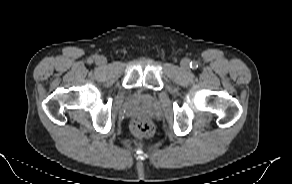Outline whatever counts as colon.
Here are the masks:
<instances>
[{"mask_svg":"<svg viewBox=\"0 0 292 184\" xmlns=\"http://www.w3.org/2000/svg\"><path fill=\"white\" fill-rule=\"evenodd\" d=\"M131 132L137 137H150L154 133V127L148 121L137 119L131 123Z\"/></svg>","mask_w":292,"mask_h":184,"instance_id":"5ec220e1","label":"colon"}]
</instances>
